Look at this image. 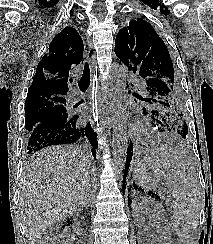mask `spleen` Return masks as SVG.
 <instances>
[{
  "label": "spleen",
  "mask_w": 213,
  "mask_h": 244,
  "mask_svg": "<svg viewBox=\"0 0 213 244\" xmlns=\"http://www.w3.org/2000/svg\"><path fill=\"white\" fill-rule=\"evenodd\" d=\"M159 175L171 192L172 226L183 244H193L202 207L201 189L195 172L180 155L168 149L153 154Z\"/></svg>",
  "instance_id": "spleen-1"
}]
</instances>
